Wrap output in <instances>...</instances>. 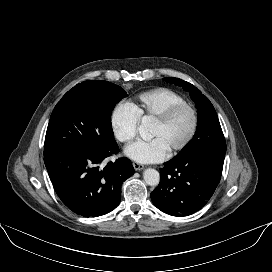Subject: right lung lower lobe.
I'll return each mask as SVG.
<instances>
[{
	"label": "right lung lower lobe",
	"instance_id": "1",
	"mask_svg": "<svg viewBox=\"0 0 272 272\" xmlns=\"http://www.w3.org/2000/svg\"><path fill=\"white\" fill-rule=\"evenodd\" d=\"M118 151L115 141L102 148L72 144L44 156L53 187L71 211L94 217L118 206L121 185L134 174L128 158H118L104 166V161Z\"/></svg>",
	"mask_w": 272,
	"mask_h": 272
}]
</instances>
